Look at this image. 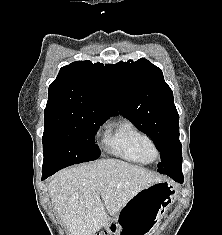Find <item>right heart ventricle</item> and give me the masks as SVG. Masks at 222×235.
<instances>
[{"instance_id":"1","label":"right heart ventricle","mask_w":222,"mask_h":235,"mask_svg":"<svg viewBox=\"0 0 222 235\" xmlns=\"http://www.w3.org/2000/svg\"><path fill=\"white\" fill-rule=\"evenodd\" d=\"M103 146L112 156L135 165H148V151L155 146L149 135L132 121L122 119L111 125L104 136Z\"/></svg>"}]
</instances>
